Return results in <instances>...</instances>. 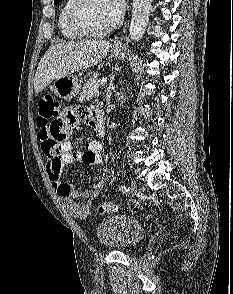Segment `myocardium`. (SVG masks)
I'll return each mask as SVG.
<instances>
[{
    "mask_svg": "<svg viewBox=\"0 0 233 294\" xmlns=\"http://www.w3.org/2000/svg\"><path fill=\"white\" fill-rule=\"evenodd\" d=\"M89 2V0H74V3L71 7L69 19L72 27L85 37H102L110 32H112L120 23L121 17L118 16L109 26L101 30H91L89 29L83 19H82V11L85 5Z\"/></svg>",
    "mask_w": 233,
    "mask_h": 294,
    "instance_id": "obj_1",
    "label": "myocardium"
}]
</instances>
